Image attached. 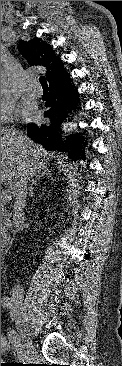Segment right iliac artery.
I'll return each mask as SVG.
<instances>
[{
	"mask_svg": "<svg viewBox=\"0 0 122 366\" xmlns=\"http://www.w3.org/2000/svg\"><path fill=\"white\" fill-rule=\"evenodd\" d=\"M1 305L4 307V308H10L11 306V301H10V298L9 297H3L1 299ZM8 336H9V341L14 344V346H16L15 344L18 343L17 342V336L15 335V332L14 330H10L8 332ZM23 345L20 346V348L18 349V354L22 357H26L25 353H24V350L22 348ZM17 347V346H16Z\"/></svg>",
	"mask_w": 122,
	"mask_h": 366,
	"instance_id": "82829eb1",
	"label": "right iliac artery"
}]
</instances>
